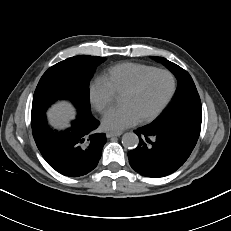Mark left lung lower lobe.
Masks as SVG:
<instances>
[{
    "label": "left lung lower lobe",
    "mask_w": 231,
    "mask_h": 231,
    "mask_svg": "<svg viewBox=\"0 0 231 231\" xmlns=\"http://www.w3.org/2000/svg\"><path fill=\"white\" fill-rule=\"evenodd\" d=\"M201 125L178 122L149 124L139 128V145L128 152L129 163L147 177H164L179 169L190 156L200 135Z\"/></svg>",
    "instance_id": "1"
}]
</instances>
